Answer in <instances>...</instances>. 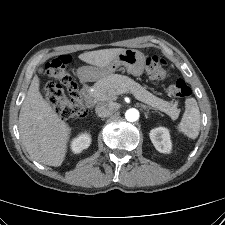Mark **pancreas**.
<instances>
[{"mask_svg":"<svg viewBox=\"0 0 225 225\" xmlns=\"http://www.w3.org/2000/svg\"><path fill=\"white\" fill-rule=\"evenodd\" d=\"M124 92L132 93L136 99L166 113L172 120H176L179 116L180 111L176 103H170L154 96L127 76L111 74L98 80L91 88H88L89 97L97 101L115 100L116 95Z\"/></svg>","mask_w":225,"mask_h":225,"instance_id":"1","label":"pancreas"}]
</instances>
